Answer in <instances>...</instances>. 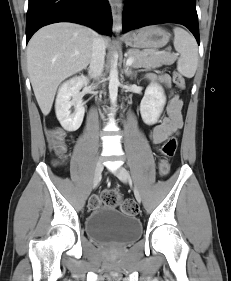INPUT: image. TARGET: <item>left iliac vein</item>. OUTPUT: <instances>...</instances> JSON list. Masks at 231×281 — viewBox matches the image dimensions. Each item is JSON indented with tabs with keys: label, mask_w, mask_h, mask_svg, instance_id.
Wrapping results in <instances>:
<instances>
[{
	"label": "left iliac vein",
	"mask_w": 231,
	"mask_h": 281,
	"mask_svg": "<svg viewBox=\"0 0 231 281\" xmlns=\"http://www.w3.org/2000/svg\"><path fill=\"white\" fill-rule=\"evenodd\" d=\"M114 173L124 183H127L130 180L129 173L123 166L116 168L114 170ZM134 195H135L136 200L140 203L141 195L137 188H134Z\"/></svg>",
	"instance_id": "left-iliac-vein-1"
}]
</instances>
